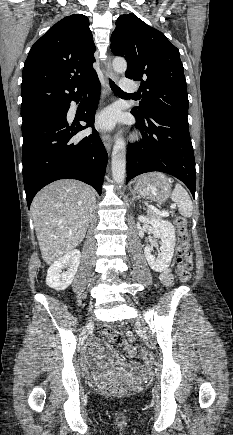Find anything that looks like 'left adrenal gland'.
<instances>
[{"instance_id":"1","label":"left adrenal gland","mask_w":233,"mask_h":435,"mask_svg":"<svg viewBox=\"0 0 233 435\" xmlns=\"http://www.w3.org/2000/svg\"><path fill=\"white\" fill-rule=\"evenodd\" d=\"M132 195H133V197H132V201L139 200V198H137L135 192H132Z\"/></svg>"}]
</instances>
